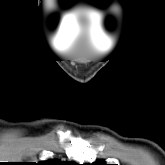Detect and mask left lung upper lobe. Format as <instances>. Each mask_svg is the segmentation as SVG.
<instances>
[{
  "label": "left lung upper lobe",
  "instance_id": "left-lung-upper-lobe-1",
  "mask_svg": "<svg viewBox=\"0 0 165 165\" xmlns=\"http://www.w3.org/2000/svg\"><path fill=\"white\" fill-rule=\"evenodd\" d=\"M86 165H107L103 160H101L100 162H95L92 164H86Z\"/></svg>",
  "mask_w": 165,
  "mask_h": 165
}]
</instances>
